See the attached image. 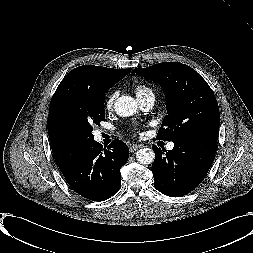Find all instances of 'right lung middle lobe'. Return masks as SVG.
Listing matches in <instances>:
<instances>
[{
	"label": "right lung middle lobe",
	"mask_w": 253,
	"mask_h": 253,
	"mask_svg": "<svg viewBox=\"0 0 253 253\" xmlns=\"http://www.w3.org/2000/svg\"><path fill=\"white\" fill-rule=\"evenodd\" d=\"M107 89L88 87L78 89L71 100L70 108L60 113L59 123L69 136L83 143L94 141L92 125L105 119L104 94Z\"/></svg>",
	"instance_id": "1"
}]
</instances>
